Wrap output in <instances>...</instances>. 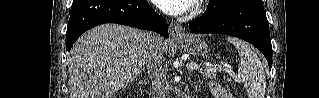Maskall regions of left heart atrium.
I'll use <instances>...</instances> for the list:
<instances>
[{
    "label": "left heart atrium",
    "instance_id": "left-heart-atrium-1",
    "mask_svg": "<svg viewBox=\"0 0 319 98\" xmlns=\"http://www.w3.org/2000/svg\"><path fill=\"white\" fill-rule=\"evenodd\" d=\"M194 3V0H155L156 6L170 15L186 13L193 7Z\"/></svg>",
    "mask_w": 319,
    "mask_h": 98
}]
</instances>
